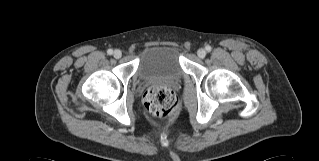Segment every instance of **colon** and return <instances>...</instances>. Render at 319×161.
<instances>
[{
  "instance_id": "obj_1",
  "label": "colon",
  "mask_w": 319,
  "mask_h": 161,
  "mask_svg": "<svg viewBox=\"0 0 319 161\" xmlns=\"http://www.w3.org/2000/svg\"><path fill=\"white\" fill-rule=\"evenodd\" d=\"M143 105L148 114L156 119L172 117L178 110V100L166 86L150 87L143 96Z\"/></svg>"
}]
</instances>
